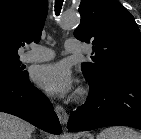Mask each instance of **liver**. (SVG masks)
I'll return each mask as SVG.
<instances>
[{
    "mask_svg": "<svg viewBox=\"0 0 141 139\" xmlns=\"http://www.w3.org/2000/svg\"><path fill=\"white\" fill-rule=\"evenodd\" d=\"M35 126L11 114L0 112V139H31Z\"/></svg>",
    "mask_w": 141,
    "mask_h": 139,
    "instance_id": "6515ba94",
    "label": "liver"
}]
</instances>
